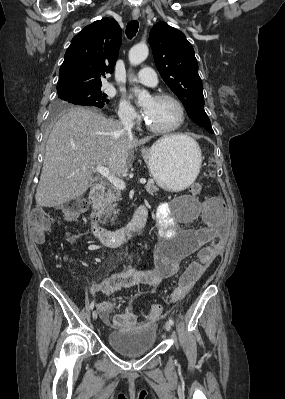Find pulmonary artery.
<instances>
[{
  "instance_id": "e3ab8cb5",
  "label": "pulmonary artery",
  "mask_w": 285,
  "mask_h": 399,
  "mask_svg": "<svg viewBox=\"0 0 285 399\" xmlns=\"http://www.w3.org/2000/svg\"><path fill=\"white\" fill-rule=\"evenodd\" d=\"M133 81L152 87L157 85V77L153 70L148 67L141 69Z\"/></svg>"
}]
</instances>
